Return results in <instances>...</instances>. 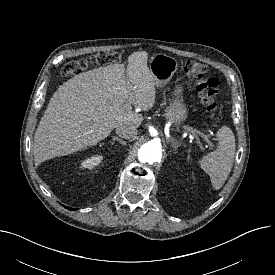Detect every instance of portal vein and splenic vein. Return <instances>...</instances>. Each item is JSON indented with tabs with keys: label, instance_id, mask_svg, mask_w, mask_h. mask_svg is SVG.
Returning a JSON list of instances; mask_svg holds the SVG:
<instances>
[{
	"label": "portal vein and splenic vein",
	"instance_id": "18ae733b",
	"mask_svg": "<svg viewBox=\"0 0 275 275\" xmlns=\"http://www.w3.org/2000/svg\"><path fill=\"white\" fill-rule=\"evenodd\" d=\"M125 108L131 109V104L128 102V103L126 104ZM206 142H207L209 145H211V146L213 145L212 142H211L210 140H207V139H206Z\"/></svg>",
	"mask_w": 275,
	"mask_h": 275
}]
</instances>
